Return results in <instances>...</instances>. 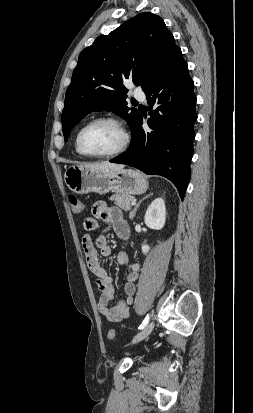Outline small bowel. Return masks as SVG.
Instances as JSON below:
<instances>
[{
  "label": "small bowel",
  "mask_w": 253,
  "mask_h": 413,
  "mask_svg": "<svg viewBox=\"0 0 253 413\" xmlns=\"http://www.w3.org/2000/svg\"><path fill=\"white\" fill-rule=\"evenodd\" d=\"M98 220L111 225L117 236L124 240L129 237L130 230L121 210L115 206H108L104 201L95 202L91 208V215L83 221V226L87 233L83 236L82 248L87 266L94 274L95 282L100 292L97 308L100 314L108 321L119 322L130 317L132 313L131 305L134 301L140 265L137 262L131 261L126 252L118 254V263L128 268L124 284L126 297L113 306H109V302L114 298L115 294L113 278L102 265L99 253L101 256L107 257L111 254V248L105 234L99 233L95 239L90 234V232L97 230Z\"/></svg>",
  "instance_id": "1"
}]
</instances>
